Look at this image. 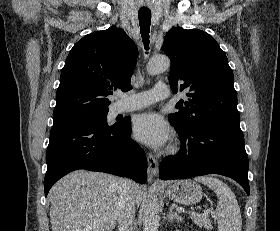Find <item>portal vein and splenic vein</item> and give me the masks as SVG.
Returning <instances> with one entry per match:
<instances>
[{
    "mask_svg": "<svg viewBox=\"0 0 280 231\" xmlns=\"http://www.w3.org/2000/svg\"><path fill=\"white\" fill-rule=\"evenodd\" d=\"M178 211H184V209H181V207H178Z\"/></svg>",
    "mask_w": 280,
    "mask_h": 231,
    "instance_id": "18ae733b",
    "label": "portal vein and splenic vein"
}]
</instances>
